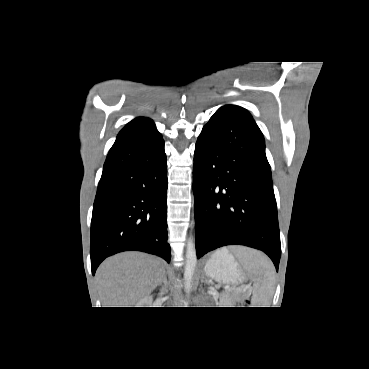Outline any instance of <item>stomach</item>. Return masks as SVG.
<instances>
[{
    "mask_svg": "<svg viewBox=\"0 0 369 369\" xmlns=\"http://www.w3.org/2000/svg\"><path fill=\"white\" fill-rule=\"evenodd\" d=\"M205 273L223 283H238L244 279V273L227 249L216 251L206 262Z\"/></svg>",
    "mask_w": 369,
    "mask_h": 369,
    "instance_id": "stomach-1",
    "label": "stomach"
}]
</instances>
